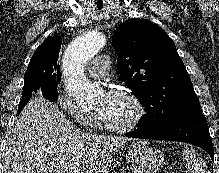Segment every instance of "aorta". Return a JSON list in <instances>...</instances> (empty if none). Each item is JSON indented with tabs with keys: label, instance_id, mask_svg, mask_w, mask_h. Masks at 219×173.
Instances as JSON below:
<instances>
[{
	"label": "aorta",
	"instance_id": "aorta-1",
	"mask_svg": "<svg viewBox=\"0 0 219 173\" xmlns=\"http://www.w3.org/2000/svg\"><path fill=\"white\" fill-rule=\"evenodd\" d=\"M105 43V36L97 30H92L75 38L64 52L62 67L67 89L70 95L80 101L93 99L99 91L95 84L86 79L84 67Z\"/></svg>",
	"mask_w": 219,
	"mask_h": 173
}]
</instances>
